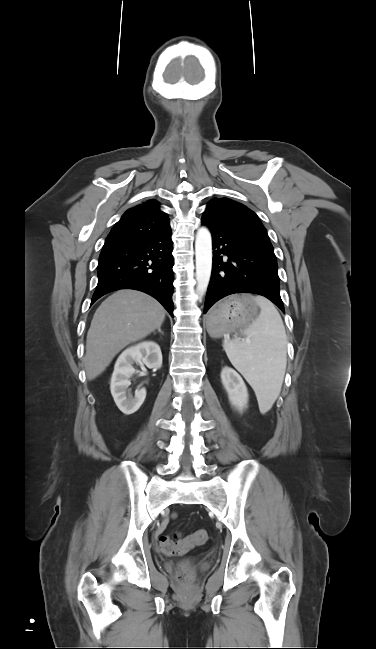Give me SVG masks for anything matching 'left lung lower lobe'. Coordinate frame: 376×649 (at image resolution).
<instances>
[{
	"mask_svg": "<svg viewBox=\"0 0 376 649\" xmlns=\"http://www.w3.org/2000/svg\"><path fill=\"white\" fill-rule=\"evenodd\" d=\"M212 234L214 256L204 313L234 293H254L272 301L282 312L277 260L273 248L202 216Z\"/></svg>",
	"mask_w": 376,
	"mask_h": 649,
	"instance_id": "left-lung-lower-lobe-1",
	"label": "left lung lower lobe"
}]
</instances>
